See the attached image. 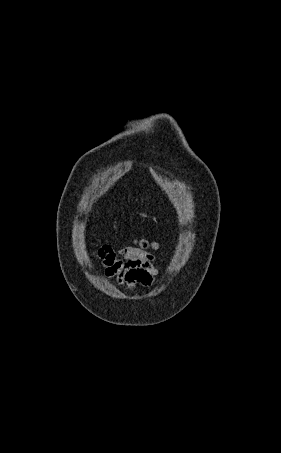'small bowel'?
Wrapping results in <instances>:
<instances>
[{
  "label": "small bowel",
  "mask_w": 281,
  "mask_h": 453,
  "mask_svg": "<svg viewBox=\"0 0 281 453\" xmlns=\"http://www.w3.org/2000/svg\"><path fill=\"white\" fill-rule=\"evenodd\" d=\"M101 271L106 279L128 291L138 285H151L160 273L152 254L126 247L106 251Z\"/></svg>",
  "instance_id": "small-bowel-1"
}]
</instances>
